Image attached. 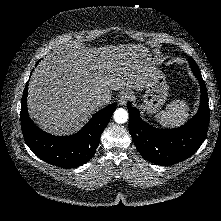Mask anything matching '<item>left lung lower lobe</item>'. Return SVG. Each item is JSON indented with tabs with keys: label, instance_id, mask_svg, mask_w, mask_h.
Wrapping results in <instances>:
<instances>
[{
	"label": "left lung lower lobe",
	"instance_id": "obj_1",
	"mask_svg": "<svg viewBox=\"0 0 221 221\" xmlns=\"http://www.w3.org/2000/svg\"><path fill=\"white\" fill-rule=\"evenodd\" d=\"M200 83L201 99L198 113L181 127L159 129L150 126L140 112L128 102L129 131L144 159L160 166L181 162L192 156L205 140L210 110L205 82L201 73H194Z\"/></svg>",
	"mask_w": 221,
	"mask_h": 221
}]
</instances>
